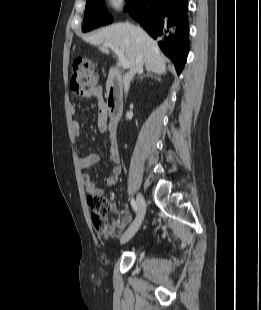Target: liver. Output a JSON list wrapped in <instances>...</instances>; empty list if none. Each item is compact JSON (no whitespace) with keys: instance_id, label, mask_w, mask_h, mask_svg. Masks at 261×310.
<instances>
[{"instance_id":"liver-1","label":"liver","mask_w":261,"mask_h":310,"mask_svg":"<svg viewBox=\"0 0 261 310\" xmlns=\"http://www.w3.org/2000/svg\"><path fill=\"white\" fill-rule=\"evenodd\" d=\"M90 44L99 46L100 50L109 54L108 48L102 47L104 43H111L125 52L126 59L133 67L139 53L143 54L147 71L159 75L166 73L165 58L157 43L140 27L130 23H117L105 27L91 36L84 37Z\"/></svg>"}]
</instances>
